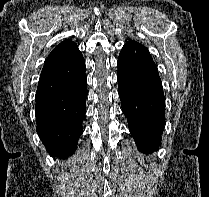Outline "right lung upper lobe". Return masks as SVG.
<instances>
[{"label": "right lung upper lobe", "instance_id": "right-lung-upper-lobe-1", "mask_svg": "<svg viewBox=\"0 0 209 197\" xmlns=\"http://www.w3.org/2000/svg\"><path fill=\"white\" fill-rule=\"evenodd\" d=\"M78 51L76 43L71 40H64L57 45L49 54L41 74L47 73L60 66Z\"/></svg>", "mask_w": 209, "mask_h": 197}]
</instances>
